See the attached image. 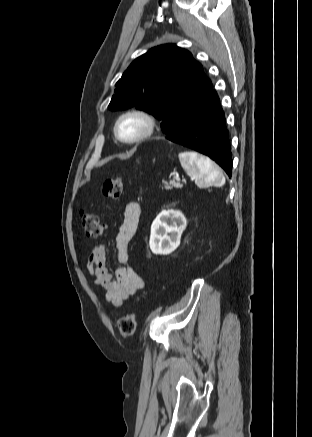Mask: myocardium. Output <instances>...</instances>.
Returning a JSON list of instances; mask_svg holds the SVG:
<instances>
[{"label":"myocardium","mask_w":312,"mask_h":437,"mask_svg":"<svg viewBox=\"0 0 312 437\" xmlns=\"http://www.w3.org/2000/svg\"><path fill=\"white\" fill-rule=\"evenodd\" d=\"M130 116H136V117H140L145 121V129L144 131L139 134L138 136L134 137V138H124L121 133H120V124L121 122ZM157 127V122L156 119L154 118V116L149 113L146 110L143 109H138V108H134V109H129L125 112H123L121 115L118 116V118L116 119L115 125H114V133L116 138L125 144H136V143H140L144 140H146L147 138H149L156 130Z\"/></svg>","instance_id":"obj_1"}]
</instances>
